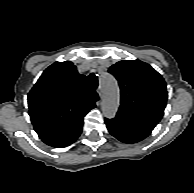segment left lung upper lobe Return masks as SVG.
<instances>
[{
  "mask_svg": "<svg viewBox=\"0 0 194 193\" xmlns=\"http://www.w3.org/2000/svg\"><path fill=\"white\" fill-rule=\"evenodd\" d=\"M120 85L121 100L117 115L155 127L167 103L163 77L140 60H124L109 68Z\"/></svg>",
  "mask_w": 194,
  "mask_h": 193,
  "instance_id": "obj_1",
  "label": "left lung upper lobe"
}]
</instances>
